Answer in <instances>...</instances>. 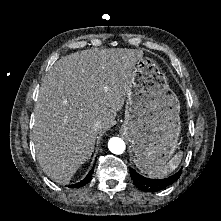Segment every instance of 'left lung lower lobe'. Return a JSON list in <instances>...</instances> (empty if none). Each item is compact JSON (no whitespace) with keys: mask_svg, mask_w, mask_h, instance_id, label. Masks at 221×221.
<instances>
[{"mask_svg":"<svg viewBox=\"0 0 221 221\" xmlns=\"http://www.w3.org/2000/svg\"><path fill=\"white\" fill-rule=\"evenodd\" d=\"M181 175V170H179L176 174L160 180L148 179L140 174H138L135 170L130 169V176L134 182V184L142 191L145 192H156L160 191L167 186L174 183Z\"/></svg>","mask_w":221,"mask_h":221,"instance_id":"1","label":"left lung lower lobe"}]
</instances>
